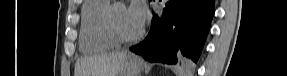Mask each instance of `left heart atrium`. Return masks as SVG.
<instances>
[{"mask_svg":"<svg viewBox=\"0 0 287 76\" xmlns=\"http://www.w3.org/2000/svg\"><path fill=\"white\" fill-rule=\"evenodd\" d=\"M129 14L139 27H143L148 19V10L142 1L136 0L128 8Z\"/></svg>","mask_w":287,"mask_h":76,"instance_id":"1","label":"left heart atrium"}]
</instances>
